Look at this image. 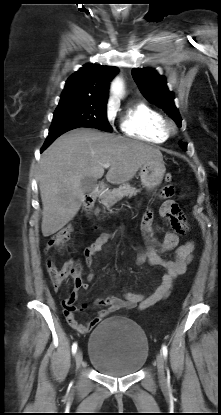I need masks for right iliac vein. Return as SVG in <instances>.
I'll return each instance as SVG.
<instances>
[{
    "instance_id": "1",
    "label": "right iliac vein",
    "mask_w": 221,
    "mask_h": 415,
    "mask_svg": "<svg viewBox=\"0 0 221 415\" xmlns=\"http://www.w3.org/2000/svg\"><path fill=\"white\" fill-rule=\"evenodd\" d=\"M82 359H83L82 352H81V350H78L75 354V363H76V368L77 369H79L81 367Z\"/></svg>"
}]
</instances>
